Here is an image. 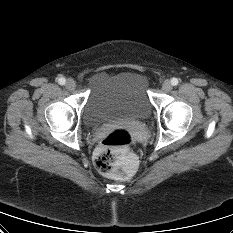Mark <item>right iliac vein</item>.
<instances>
[{
	"instance_id": "1",
	"label": "right iliac vein",
	"mask_w": 233,
	"mask_h": 233,
	"mask_svg": "<svg viewBox=\"0 0 233 233\" xmlns=\"http://www.w3.org/2000/svg\"><path fill=\"white\" fill-rule=\"evenodd\" d=\"M65 86L68 90L72 91L76 88V82L73 79H68Z\"/></svg>"
}]
</instances>
